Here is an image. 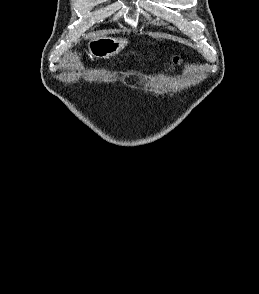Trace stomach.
I'll return each mask as SVG.
<instances>
[{"mask_svg": "<svg viewBox=\"0 0 259 294\" xmlns=\"http://www.w3.org/2000/svg\"><path fill=\"white\" fill-rule=\"evenodd\" d=\"M128 44L126 39L100 36L89 40V53L97 58H109L118 54Z\"/></svg>", "mask_w": 259, "mask_h": 294, "instance_id": "0dacf381", "label": "stomach"}]
</instances>
